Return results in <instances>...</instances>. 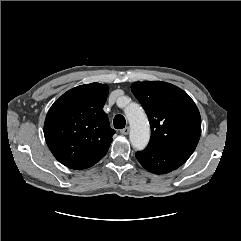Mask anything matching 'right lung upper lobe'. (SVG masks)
<instances>
[{"label": "right lung upper lobe", "mask_w": 241, "mask_h": 241, "mask_svg": "<svg viewBox=\"0 0 241 241\" xmlns=\"http://www.w3.org/2000/svg\"><path fill=\"white\" fill-rule=\"evenodd\" d=\"M109 88L91 83L64 93L49 109L45 124L46 143L55 158L76 169L100 160L108 151L115 131L103 106Z\"/></svg>", "instance_id": "right-lung-upper-lobe-1"}]
</instances>
